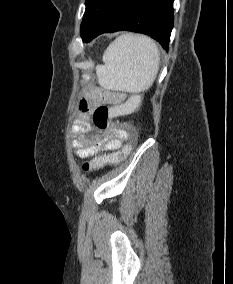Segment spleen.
<instances>
[{"instance_id": "1", "label": "spleen", "mask_w": 233, "mask_h": 284, "mask_svg": "<svg viewBox=\"0 0 233 284\" xmlns=\"http://www.w3.org/2000/svg\"><path fill=\"white\" fill-rule=\"evenodd\" d=\"M104 65L96 67L101 87L128 93L148 90L157 76L160 52L149 37L123 34L103 54Z\"/></svg>"}]
</instances>
